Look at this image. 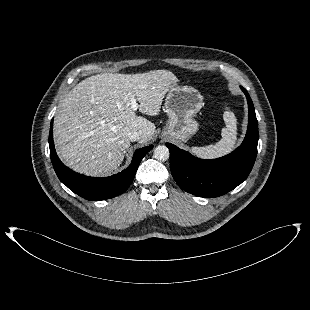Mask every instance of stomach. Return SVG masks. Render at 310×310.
<instances>
[{
	"mask_svg": "<svg viewBox=\"0 0 310 310\" xmlns=\"http://www.w3.org/2000/svg\"><path fill=\"white\" fill-rule=\"evenodd\" d=\"M203 105V97L197 89L173 83L165 99L164 108L169 118L162 136L186 142L198 130L193 117Z\"/></svg>",
	"mask_w": 310,
	"mask_h": 310,
	"instance_id": "obj_1",
	"label": "stomach"
}]
</instances>
